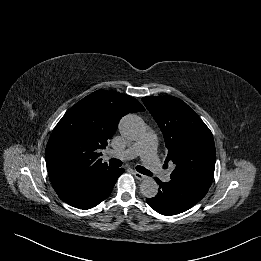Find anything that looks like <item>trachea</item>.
Listing matches in <instances>:
<instances>
[{"label": "trachea", "mask_w": 261, "mask_h": 261, "mask_svg": "<svg viewBox=\"0 0 261 261\" xmlns=\"http://www.w3.org/2000/svg\"><path fill=\"white\" fill-rule=\"evenodd\" d=\"M109 165L113 166V167H120V166H122V161L119 160V159L112 158V159L109 160ZM136 170L139 173H142L144 175L152 176V172H150L149 170H147L143 166H139V165L136 166Z\"/></svg>", "instance_id": "trachea-1"}]
</instances>
